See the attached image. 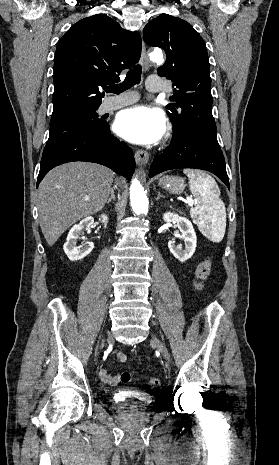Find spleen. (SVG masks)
<instances>
[{
	"mask_svg": "<svg viewBox=\"0 0 279 465\" xmlns=\"http://www.w3.org/2000/svg\"><path fill=\"white\" fill-rule=\"evenodd\" d=\"M184 173L195 197V206L190 209L191 218L211 241L219 243L226 230V208L220 199V189L216 181L202 171L185 169Z\"/></svg>",
	"mask_w": 279,
	"mask_h": 465,
	"instance_id": "1",
	"label": "spleen"
}]
</instances>
